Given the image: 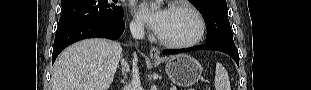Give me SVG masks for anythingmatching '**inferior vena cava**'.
Masks as SVG:
<instances>
[{
	"label": "inferior vena cava",
	"instance_id": "inferior-vena-cava-1",
	"mask_svg": "<svg viewBox=\"0 0 311 90\" xmlns=\"http://www.w3.org/2000/svg\"><path fill=\"white\" fill-rule=\"evenodd\" d=\"M130 32L132 36L137 40H141L144 38V28L140 23H131ZM130 63L131 64L129 65V68L132 70V79L128 85V88L130 90H141V83L137 66L134 61H131Z\"/></svg>",
	"mask_w": 311,
	"mask_h": 90
}]
</instances>
